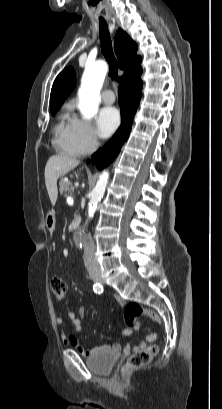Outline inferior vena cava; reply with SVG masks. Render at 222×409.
Masks as SVG:
<instances>
[{"label": "inferior vena cava", "mask_w": 222, "mask_h": 409, "mask_svg": "<svg viewBox=\"0 0 222 409\" xmlns=\"http://www.w3.org/2000/svg\"><path fill=\"white\" fill-rule=\"evenodd\" d=\"M95 246L91 239L87 240L84 245V264L89 272L99 271L100 266L95 257Z\"/></svg>", "instance_id": "602c4592"}]
</instances>
